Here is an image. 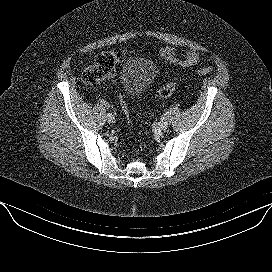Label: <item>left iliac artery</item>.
<instances>
[{
	"mask_svg": "<svg viewBox=\"0 0 272 272\" xmlns=\"http://www.w3.org/2000/svg\"><path fill=\"white\" fill-rule=\"evenodd\" d=\"M161 120H166V117L165 116H161Z\"/></svg>",
	"mask_w": 272,
	"mask_h": 272,
	"instance_id": "1",
	"label": "left iliac artery"
}]
</instances>
